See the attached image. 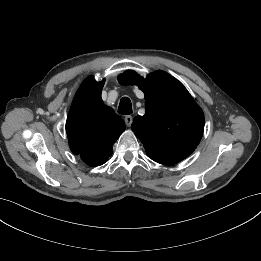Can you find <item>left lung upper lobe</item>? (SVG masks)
I'll return each mask as SVG.
<instances>
[{"label": "left lung upper lobe", "instance_id": "obj_1", "mask_svg": "<svg viewBox=\"0 0 261 261\" xmlns=\"http://www.w3.org/2000/svg\"><path fill=\"white\" fill-rule=\"evenodd\" d=\"M118 79L137 84L145 93L146 113L135 117L132 130L148 157L163 165L188 157L202 138L204 115L186 88L164 71L144 79L128 70Z\"/></svg>", "mask_w": 261, "mask_h": 261}]
</instances>
